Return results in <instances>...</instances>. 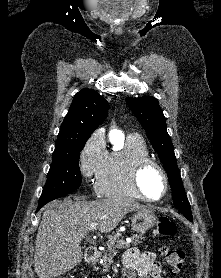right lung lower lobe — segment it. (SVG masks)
Returning a JSON list of instances; mask_svg holds the SVG:
<instances>
[{
    "instance_id": "obj_1",
    "label": "right lung lower lobe",
    "mask_w": 221,
    "mask_h": 278,
    "mask_svg": "<svg viewBox=\"0 0 221 278\" xmlns=\"http://www.w3.org/2000/svg\"><path fill=\"white\" fill-rule=\"evenodd\" d=\"M41 208V206H38V210Z\"/></svg>"
}]
</instances>
